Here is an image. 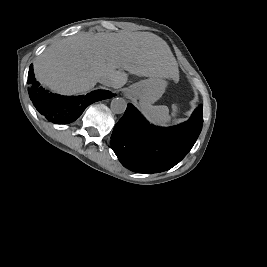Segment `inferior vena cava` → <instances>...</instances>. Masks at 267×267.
<instances>
[{"instance_id":"obj_1","label":"inferior vena cava","mask_w":267,"mask_h":267,"mask_svg":"<svg viewBox=\"0 0 267 267\" xmlns=\"http://www.w3.org/2000/svg\"><path fill=\"white\" fill-rule=\"evenodd\" d=\"M99 82L105 86L108 87H113L114 86V81L106 76H103L99 79Z\"/></svg>"}]
</instances>
